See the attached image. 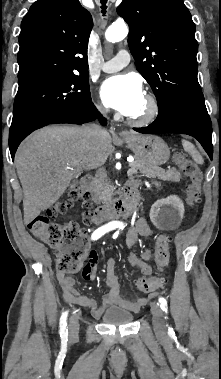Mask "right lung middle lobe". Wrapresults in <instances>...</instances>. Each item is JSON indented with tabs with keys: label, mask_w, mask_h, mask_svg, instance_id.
Returning a JSON list of instances; mask_svg holds the SVG:
<instances>
[{
	"label": "right lung middle lobe",
	"mask_w": 221,
	"mask_h": 379,
	"mask_svg": "<svg viewBox=\"0 0 221 379\" xmlns=\"http://www.w3.org/2000/svg\"><path fill=\"white\" fill-rule=\"evenodd\" d=\"M91 103L88 72L64 73L19 83L9 143L26 137L44 122Z\"/></svg>",
	"instance_id": "dd1d6c3e"
}]
</instances>
